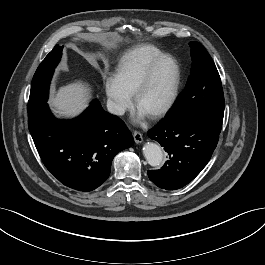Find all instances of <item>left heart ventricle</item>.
Instances as JSON below:
<instances>
[{"label":"left heart ventricle","mask_w":265,"mask_h":265,"mask_svg":"<svg viewBox=\"0 0 265 265\" xmlns=\"http://www.w3.org/2000/svg\"><path fill=\"white\" fill-rule=\"evenodd\" d=\"M174 82V67L171 61L161 62L141 97L136 108L146 115L160 108L168 99Z\"/></svg>","instance_id":"obj_1"}]
</instances>
